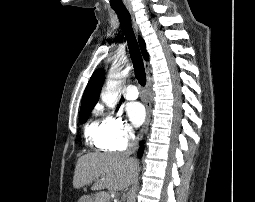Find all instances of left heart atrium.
<instances>
[{
	"label": "left heart atrium",
	"instance_id": "1",
	"mask_svg": "<svg viewBox=\"0 0 255 202\" xmlns=\"http://www.w3.org/2000/svg\"><path fill=\"white\" fill-rule=\"evenodd\" d=\"M125 109L127 116L133 125L139 126L143 123L146 116V111L141 103L130 102L126 105Z\"/></svg>",
	"mask_w": 255,
	"mask_h": 202
}]
</instances>
